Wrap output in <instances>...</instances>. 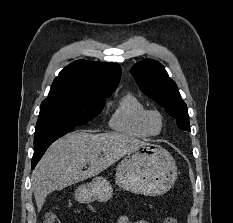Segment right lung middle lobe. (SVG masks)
I'll return each instance as SVG.
<instances>
[{
	"mask_svg": "<svg viewBox=\"0 0 233 223\" xmlns=\"http://www.w3.org/2000/svg\"><path fill=\"white\" fill-rule=\"evenodd\" d=\"M105 101L71 97H48L40 108L34 137V155L45 152L58 138L76 126L84 125L97 116Z\"/></svg>",
	"mask_w": 233,
	"mask_h": 223,
	"instance_id": "right-lung-middle-lobe-1",
	"label": "right lung middle lobe"
}]
</instances>
